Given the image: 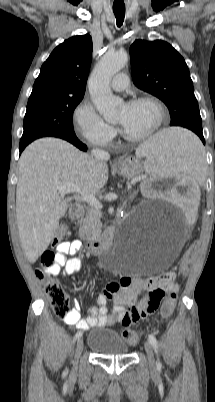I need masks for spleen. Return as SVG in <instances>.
Wrapping results in <instances>:
<instances>
[{"label":"spleen","instance_id":"spleen-1","mask_svg":"<svg viewBox=\"0 0 215 402\" xmlns=\"http://www.w3.org/2000/svg\"><path fill=\"white\" fill-rule=\"evenodd\" d=\"M204 144L192 128H165L143 143L137 155L145 156L144 170L149 175L187 176L188 182H201Z\"/></svg>","mask_w":215,"mask_h":402}]
</instances>
